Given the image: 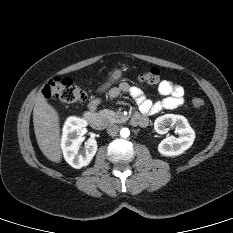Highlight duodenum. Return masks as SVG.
<instances>
[{
  "label": "duodenum",
  "mask_w": 233,
  "mask_h": 233,
  "mask_svg": "<svg viewBox=\"0 0 233 233\" xmlns=\"http://www.w3.org/2000/svg\"><path fill=\"white\" fill-rule=\"evenodd\" d=\"M84 118L90 124V126L95 129H103L106 125V120L104 119V117L94 110H89L85 112ZM132 121L134 124H138L141 126H144L147 123V119L141 116H134Z\"/></svg>",
  "instance_id": "410a0bca"
}]
</instances>
